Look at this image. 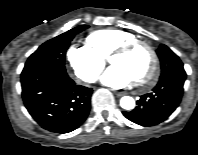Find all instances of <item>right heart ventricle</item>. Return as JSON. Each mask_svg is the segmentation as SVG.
Masks as SVG:
<instances>
[{
    "label": "right heart ventricle",
    "mask_w": 198,
    "mask_h": 155,
    "mask_svg": "<svg viewBox=\"0 0 198 155\" xmlns=\"http://www.w3.org/2000/svg\"><path fill=\"white\" fill-rule=\"evenodd\" d=\"M135 39L137 38L132 33L117 28L94 31L87 38L89 45L103 58L108 57L120 45Z\"/></svg>",
    "instance_id": "e07e8e85"
}]
</instances>
